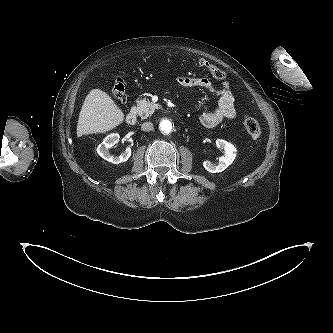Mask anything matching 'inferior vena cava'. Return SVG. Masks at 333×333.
<instances>
[{
  "mask_svg": "<svg viewBox=\"0 0 333 333\" xmlns=\"http://www.w3.org/2000/svg\"><path fill=\"white\" fill-rule=\"evenodd\" d=\"M141 129L143 130V131H151L152 129H153V123H151V122H144L143 124H142V126H141Z\"/></svg>",
  "mask_w": 333,
  "mask_h": 333,
  "instance_id": "602c4592",
  "label": "inferior vena cava"
}]
</instances>
